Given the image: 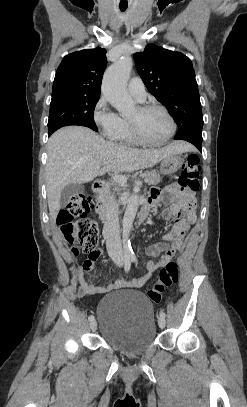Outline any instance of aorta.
I'll list each match as a JSON object with an SVG mask.
<instances>
[{
  "label": "aorta",
  "mask_w": 247,
  "mask_h": 407,
  "mask_svg": "<svg viewBox=\"0 0 247 407\" xmlns=\"http://www.w3.org/2000/svg\"><path fill=\"white\" fill-rule=\"evenodd\" d=\"M132 66L133 63L130 57L122 58L106 70L102 81L103 95L122 116L130 114L135 107L127 91V82ZM138 207L139 197L135 193L131 195L127 201L122 222V243L123 251L126 256L132 255L129 235Z\"/></svg>",
  "instance_id": "762f6f07"
}]
</instances>
